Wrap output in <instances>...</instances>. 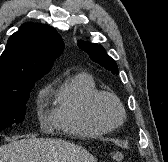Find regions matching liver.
I'll return each mask as SVG.
<instances>
[{
    "label": "liver",
    "mask_w": 168,
    "mask_h": 162,
    "mask_svg": "<svg viewBox=\"0 0 168 162\" xmlns=\"http://www.w3.org/2000/svg\"><path fill=\"white\" fill-rule=\"evenodd\" d=\"M0 162H96L86 149L61 139L29 138L0 147Z\"/></svg>",
    "instance_id": "6515ba94"
}]
</instances>
